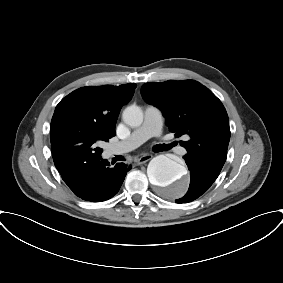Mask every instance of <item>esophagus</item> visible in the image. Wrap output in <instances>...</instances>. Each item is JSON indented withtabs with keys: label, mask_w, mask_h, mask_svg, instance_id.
I'll list each match as a JSON object with an SVG mask.
<instances>
[{
	"label": "esophagus",
	"mask_w": 283,
	"mask_h": 283,
	"mask_svg": "<svg viewBox=\"0 0 283 283\" xmlns=\"http://www.w3.org/2000/svg\"><path fill=\"white\" fill-rule=\"evenodd\" d=\"M151 158H152V155H150V154H145V155L141 156V157L137 160V164H138V165H142V164L148 162Z\"/></svg>",
	"instance_id": "obj_1"
}]
</instances>
